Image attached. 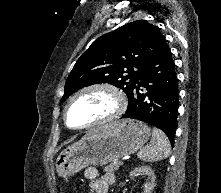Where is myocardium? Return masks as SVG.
<instances>
[{"label": "myocardium", "mask_w": 221, "mask_h": 193, "mask_svg": "<svg viewBox=\"0 0 221 193\" xmlns=\"http://www.w3.org/2000/svg\"><path fill=\"white\" fill-rule=\"evenodd\" d=\"M90 92H103L112 97L114 101L113 108L105 115L94 121L79 127L71 126L68 122V111L73 102L80 96ZM126 109V98L124 93L115 85L107 82H97L81 87L68 99L63 110V120L69 129L76 131H87L95 127L111 123L122 116Z\"/></svg>", "instance_id": "obj_1"}]
</instances>
